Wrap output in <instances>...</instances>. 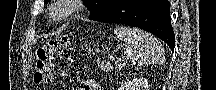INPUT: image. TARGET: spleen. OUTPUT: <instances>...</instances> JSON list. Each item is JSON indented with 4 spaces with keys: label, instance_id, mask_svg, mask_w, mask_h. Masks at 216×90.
I'll list each match as a JSON object with an SVG mask.
<instances>
[{
    "label": "spleen",
    "instance_id": "1",
    "mask_svg": "<svg viewBox=\"0 0 216 90\" xmlns=\"http://www.w3.org/2000/svg\"><path fill=\"white\" fill-rule=\"evenodd\" d=\"M115 36L124 42L127 58L133 66L153 64L162 56V46L158 38L139 28H116Z\"/></svg>",
    "mask_w": 216,
    "mask_h": 90
}]
</instances>
